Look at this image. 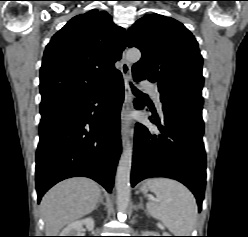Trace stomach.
I'll list each match as a JSON object with an SVG mask.
<instances>
[{
    "label": "stomach",
    "instance_id": "0dacf381",
    "mask_svg": "<svg viewBox=\"0 0 248 237\" xmlns=\"http://www.w3.org/2000/svg\"><path fill=\"white\" fill-rule=\"evenodd\" d=\"M141 191H142V193H143L146 197H150V196H151V195L148 193L149 189L147 188L146 185H143V186L141 187Z\"/></svg>",
    "mask_w": 248,
    "mask_h": 237
}]
</instances>
